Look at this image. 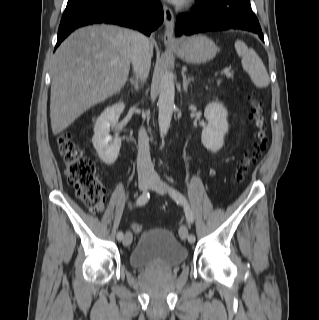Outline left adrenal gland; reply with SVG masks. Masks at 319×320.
<instances>
[{"label": "left adrenal gland", "instance_id": "left-adrenal-gland-1", "mask_svg": "<svg viewBox=\"0 0 319 320\" xmlns=\"http://www.w3.org/2000/svg\"><path fill=\"white\" fill-rule=\"evenodd\" d=\"M182 78H183V90L185 92H187V89H188V85L191 81H194V78L192 77H186L185 73L182 71Z\"/></svg>", "mask_w": 319, "mask_h": 320}]
</instances>
